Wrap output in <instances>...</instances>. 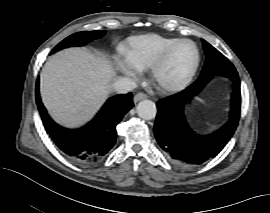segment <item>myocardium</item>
Here are the masks:
<instances>
[{"label":"myocardium","mask_w":270,"mask_h":213,"mask_svg":"<svg viewBox=\"0 0 270 213\" xmlns=\"http://www.w3.org/2000/svg\"><path fill=\"white\" fill-rule=\"evenodd\" d=\"M182 43H189L194 47L195 54H196V60H195V64H194L192 70L190 71V73L185 78H183L182 80H180L178 82H175L173 84H163V83L159 82L158 73H159L160 69L165 65V63L169 59V57H170L171 53L173 52V50L178 45H180ZM199 65H200V53H199V50H198L196 44L193 41L189 40V39H178L177 41H175L174 43L169 45L156 58V60L150 66L151 82L157 88L158 91H160V92H162L164 94H170V93L179 92V91L185 89L191 83V81L193 80V78L195 77V75L197 73Z\"/></svg>","instance_id":"myocardium-1"}]
</instances>
